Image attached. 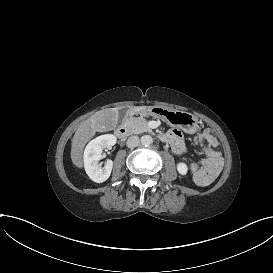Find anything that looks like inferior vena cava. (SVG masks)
<instances>
[{
	"label": "inferior vena cava",
	"instance_id": "inferior-vena-cava-1",
	"mask_svg": "<svg viewBox=\"0 0 273 273\" xmlns=\"http://www.w3.org/2000/svg\"><path fill=\"white\" fill-rule=\"evenodd\" d=\"M140 144V139L138 136H130L127 140V147L135 148Z\"/></svg>",
	"mask_w": 273,
	"mask_h": 273
}]
</instances>
